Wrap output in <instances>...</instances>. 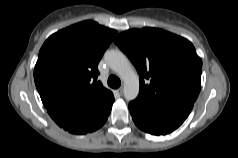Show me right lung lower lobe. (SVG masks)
<instances>
[{"label": "right lung lower lobe", "instance_id": "obj_1", "mask_svg": "<svg viewBox=\"0 0 238 158\" xmlns=\"http://www.w3.org/2000/svg\"><path fill=\"white\" fill-rule=\"evenodd\" d=\"M114 98L106 103L91 102L46 107L52 119L70 133L85 134L100 128L107 120Z\"/></svg>", "mask_w": 238, "mask_h": 158}]
</instances>
